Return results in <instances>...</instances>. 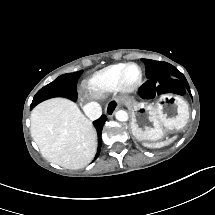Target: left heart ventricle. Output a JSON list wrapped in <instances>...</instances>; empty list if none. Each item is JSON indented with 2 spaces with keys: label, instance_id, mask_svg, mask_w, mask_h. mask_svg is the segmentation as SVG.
I'll return each instance as SVG.
<instances>
[{
  "label": "left heart ventricle",
  "instance_id": "left-heart-ventricle-1",
  "mask_svg": "<svg viewBox=\"0 0 215 215\" xmlns=\"http://www.w3.org/2000/svg\"><path fill=\"white\" fill-rule=\"evenodd\" d=\"M124 71V76L127 80V82L129 83L131 80H133V78L135 77L136 75V71L134 68L132 67H128V68H125L123 69Z\"/></svg>",
  "mask_w": 215,
  "mask_h": 215
}]
</instances>
